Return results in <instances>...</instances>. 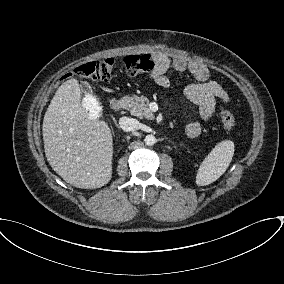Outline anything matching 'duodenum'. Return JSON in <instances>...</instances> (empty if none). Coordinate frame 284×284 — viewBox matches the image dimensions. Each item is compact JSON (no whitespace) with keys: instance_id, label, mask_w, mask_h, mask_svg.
Listing matches in <instances>:
<instances>
[{"instance_id":"duodenum-1","label":"duodenum","mask_w":284,"mask_h":284,"mask_svg":"<svg viewBox=\"0 0 284 284\" xmlns=\"http://www.w3.org/2000/svg\"><path fill=\"white\" fill-rule=\"evenodd\" d=\"M122 101L119 98H112L110 100V107L114 111H119L122 108Z\"/></svg>"}]
</instances>
